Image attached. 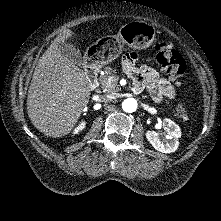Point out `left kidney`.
Wrapping results in <instances>:
<instances>
[{"label":"left kidney","instance_id":"5707ae66","mask_svg":"<svg viewBox=\"0 0 221 221\" xmlns=\"http://www.w3.org/2000/svg\"><path fill=\"white\" fill-rule=\"evenodd\" d=\"M163 128L167 132L169 140L161 139L154 131H147L146 138L159 152H175L179 146L178 139L181 137V129L174 121L167 118L163 120Z\"/></svg>","mask_w":221,"mask_h":221}]
</instances>
